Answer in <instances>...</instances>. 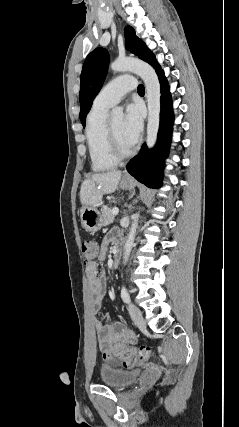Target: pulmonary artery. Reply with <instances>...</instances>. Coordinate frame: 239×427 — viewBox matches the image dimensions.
Returning <instances> with one entry per match:
<instances>
[{"instance_id": "1", "label": "pulmonary artery", "mask_w": 239, "mask_h": 427, "mask_svg": "<svg viewBox=\"0 0 239 427\" xmlns=\"http://www.w3.org/2000/svg\"><path fill=\"white\" fill-rule=\"evenodd\" d=\"M136 88L135 79L130 75H122L105 85L97 94L94 104L112 107L116 105L129 91Z\"/></svg>"}]
</instances>
